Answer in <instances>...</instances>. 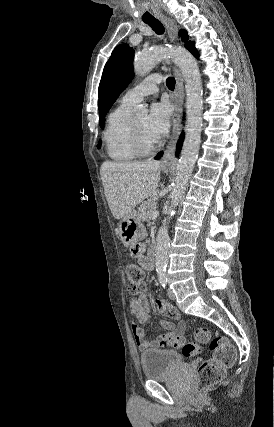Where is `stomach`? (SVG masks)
<instances>
[{
  "instance_id": "1",
  "label": "stomach",
  "mask_w": 274,
  "mask_h": 427,
  "mask_svg": "<svg viewBox=\"0 0 274 427\" xmlns=\"http://www.w3.org/2000/svg\"><path fill=\"white\" fill-rule=\"evenodd\" d=\"M145 235H147L146 229L135 210L132 214L124 215L119 223V237L124 245H134Z\"/></svg>"
}]
</instances>
